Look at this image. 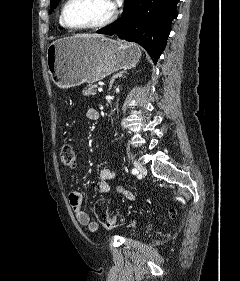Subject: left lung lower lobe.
Instances as JSON below:
<instances>
[{"instance_id": "1", "label": "left lung lower lobe", "mask_w": 240, "mask_h": 281, "mask_svg": "<svg viewBox=\"0 0 240 281\" xmlns=\"http://www.w3.org/2000/svg\"><path fill=\"white\" fill-rule=\"evenodd\" d=\"M179 0H125L122 16L97 33L114 35L144 47L154 62L164 50Z\"/></svg>"}]
</instances>
